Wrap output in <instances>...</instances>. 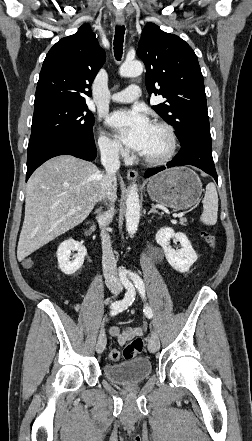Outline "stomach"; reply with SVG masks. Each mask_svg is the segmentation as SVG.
Wrapping results in <instances>:
<instances>
[{
	"mask_svg": "<svg viewBox=\"0 0 252 441\" xmlns=\"http://www.w3.org/2000/svg\"><path fill=\"white\" fill-rule=\"evenodd\" d=\"M202 191L200 178L188 167L168 169L152 177L147 185L153 201L177 210L195 205Z\"/></svg>",
	"mask_w": 252,
	"mask_h": 441,
	"instance_id": "0dacf381",
	"label": "stomach"
}]
</instances>
